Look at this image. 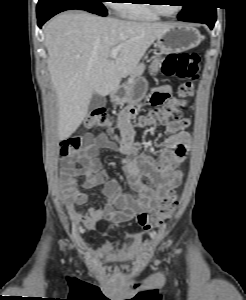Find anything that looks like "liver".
Listing matches in <instances>:
<instances>
[{"mask_svg":"<svg viewBox=\"0 0 246 300\" xmlns=\"http://www.w3.org/2000/svg\"><path fill=\"white\" fill-rule=\"evenodd\" d=\"M172 25L65 12L44 29L47 68L58 97V138L71 136L94 93L106 96L136 68L147 49ZM119 49L112 60L110 51Z\"/></svg>","mask_w":246,"mask_h":300,"instance_id":"obj_1","label":"liver"}]
</instances>
